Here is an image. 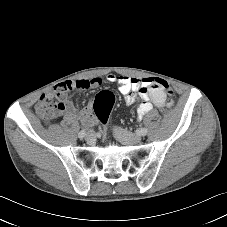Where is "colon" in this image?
Returning <instances> with one entry per match:
<instances>
[{
	"mask_svg": "<svg viewBox=\"0 0 227 227\" xmlns=\"http://www.w3.org/2000/svg\"><path fill=\"white\" fill-rule=\"evenodd\" d=\"M158 83L163 87V89L168 94L172 93L171 88L165 81L159 80ZM114 102H115L114 94L109 90H102L96 95L94 100V111L101 123H105L107 121L110 111L114 105Z\"/></svg>",
	"mask_w": 227,
	"mask_h": 227,
	"instance_id": "colon-1",
	"label": "colon"
}]
</instances>
